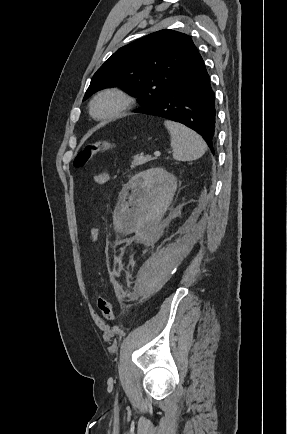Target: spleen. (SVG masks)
<instances>
[{
  "instance_id": "3e777b00",
  "label": "spleen",
  "mask_w": 287,
  "mask_h": 434,
  "mask_svg": "<svg viewBox=\"0 0 287 434\" xmlns=\"http://www.w3.org/2000/svg\"><path fill=\"white\" fill-rule=\"evenodd\" d=\"M164 124L171 136V147L175 160H196L206 152L207 145L205 141L193 130L169 120H166Z\"/></svg>"
}]
</instances>
